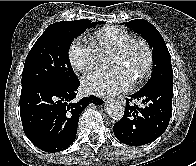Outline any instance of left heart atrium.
<instances>
[{
	"instance_id": "obj_1",
	"label": "left heart atrium",
	"mask_w": 196,
	"mask_h": 166,
	"mask_svg": "<svg viewBox=\"0 0 196 166\" xmlns=\"http://www.w3.org/2000/svg\"><path fill=\"white\" fill-rule=\"evenodd\" d=\"M82 84L89 92L97 95L118 94L130 90L134 79L122 68L113 70L97 69L87 73Z\"/></svg>"
}]
</instances>
